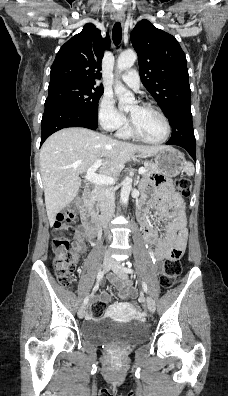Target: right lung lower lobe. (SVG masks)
Returning a JSON list of instances; mask_svg holds the SVG:
<instances>
[{
  "label": "right lung lower lobe",
  "mask_w": 228,
  "mask_h": 396,
  "mask_svg": "<svg viewBox=\"0 0 228 396\" xmlns=\"http://www.w3.org/2000/svg\"><path fill=\"white\" fill-rule=\"evenodd\" d=\"M98 117L85 113L62 101L45 102L42 117V134L40 145L54 132L67 127H85L96 129Z\"/></svg>",
  "instance_id": "98d812e1"
}]
</instances>
